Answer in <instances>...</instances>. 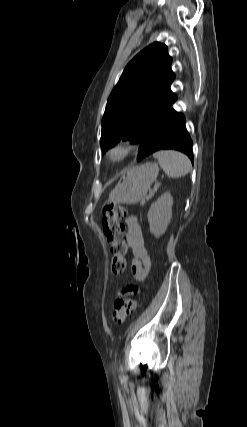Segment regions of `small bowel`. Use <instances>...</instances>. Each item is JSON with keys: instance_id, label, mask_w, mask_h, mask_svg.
Listing matches in <instances>:
<instances>
[{"instance_id": "c3829d8e", "label": "small bowel", "mask_w": 247, "mask_h": 427, "mask_svg": "<svg viewBox=\"0 0 247 427\" xmlns=\"http://www.w3.org/2000/svg\"><path fill=\"white\" fill-rule=\"evenodd\" d=\"M127 226V243L133 253L131 271L137 280H143L150 267V259L144 245L141 226L138 219L129 216L125 220ZM137 288L133 285L127 286L123 293H135Z\"/></svg>"}]
</instances>
